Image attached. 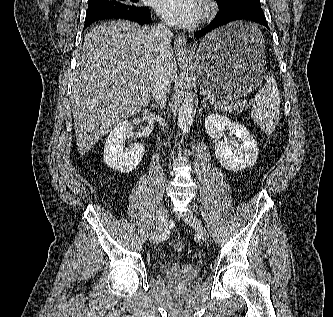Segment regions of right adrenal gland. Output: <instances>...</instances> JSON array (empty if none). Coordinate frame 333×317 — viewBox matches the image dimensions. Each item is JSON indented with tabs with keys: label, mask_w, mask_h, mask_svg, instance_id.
<instances>
[{
	"label": "right adrenal gland",
	"mask_w": 333,
	"mask_h": 317,
	"mask_svg": "<svg viewBox=\"0 0 333 317\" xmlns=\"http://www.w3.org/2000/svg\"><path fill=\"white\" fill-rule=\"evenodd\" d=\"M152 108H157V105L151 104Z\"/></svg>",
	"instance_id": "2a0ac1e0"
}]
</instances>
